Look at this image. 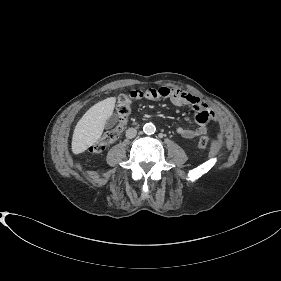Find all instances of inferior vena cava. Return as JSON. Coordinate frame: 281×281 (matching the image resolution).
I'll return each mask as SVG.
<instances>
[{
  "instance_id": "602c4592",
  "label": "inferior vena cava",
  "mask_w": 281,
  "mask_h": 281,
  "mask_svg": "<svg viewBox=\"0 0 281 281\" xmlns=\"http://www.w3.org/2000/svg\"><path fill=\"white\" fill-rule=\"evenodd\" d=\"M137 130L135 128H129L126 130V137L132 139L136 136Z\"/></svg>"
}]
</instances>
